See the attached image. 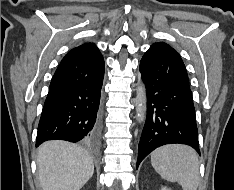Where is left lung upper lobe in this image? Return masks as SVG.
Here are the masks:
<instances>
[{
	"mask_svg": "<svg viewBox=\"0 0 234 190\" xmlns=\"http://www.w3.org/2000/svg\"><path fill=\"white\" fill-rule=\"evenodd\" d=\"M185 75H186V79L188 80V75H187V71H186V68H185Z\"/></svg>",
	"mask_w": 234,
	"mask_h": 190,
	"instance_id": "obj_1",
	"label": "left lung upper lobe"
}]
</instances>
